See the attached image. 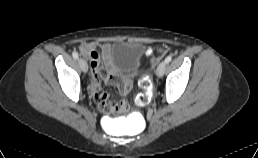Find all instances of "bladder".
I'll list each match as a JSON object with an SVG mask.
<instances>
[{
  "mask_svg": "<svg viewBox=\"0 0 258 158\" xmlns=\"http://www.w3.org/2000/svg\"><path fill=\"white\" fill-rule=\"evenodd\" d=\"M146 47L139 42H116L111 46L109 57L113 65L121 67L127 78H132L140 68Z\"/></svg>",
  "mask_w": 258,
  "mask_h": 158,
  "instance_id": "31cf9c89",
  "label": "bladder"
}]
</instances>
